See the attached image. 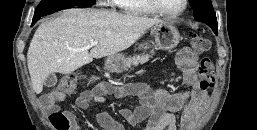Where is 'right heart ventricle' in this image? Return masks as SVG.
Wrapping results in <instances>:
<instances>
[{
  "instance_id": "obj_1",
  "label": "right heart ventricle",
  "mask_w": 257,
  "mask_h": 130,
  "mask_svg": "<svg viewBox=\"0 0 257 130\" xmlns=\"http://www.w3.org/2000/svg\"><path fill=\"white\" fill-rule=\"evenodd\" d=\"M112 2L121 12L128 15L148 16L156 14L147 0H112Z\"/></svg>"
}]
</instances>
